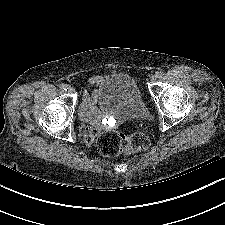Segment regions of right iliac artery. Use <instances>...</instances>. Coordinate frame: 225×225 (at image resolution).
Wrapping results in <instances>:
<instances>
[{
	"label": "right iliac artery",
	"instance_id": "1",
	"mask_svg": "<svg viewBox=\"0 0 225 225\" xmlns=\"http://www.w3.org/2000/svg\"><path fill=\"white\" fill-rule=\"evenodd\" d=\"M61 89H63V90H66V91H67V89H68V85H66V84H61Z\"/></svg>",
	"mask_w": 225,
	"mask_h": 225
}]
</instances>
